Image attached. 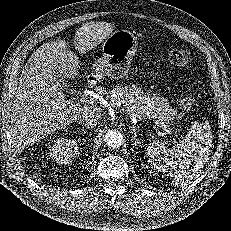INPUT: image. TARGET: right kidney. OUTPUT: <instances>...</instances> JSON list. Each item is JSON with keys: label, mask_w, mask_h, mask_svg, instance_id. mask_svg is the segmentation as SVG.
<instances>
[{"label": "right kidney", "mask_w": 231, "mask_h": 231, "mask_svg": "<svg viewBox=\"0 0 231 231\" xmlns=\"http://www.w3.org/2000/svg\"><path fill=\"white\" fill-rule=\"evenodd\" d=\"M78 149L76 140L58 137L49 145V155L60 164H67L72 161Z\"/></svg>", "instance_id": "1"}]
</instances>
